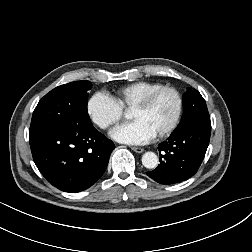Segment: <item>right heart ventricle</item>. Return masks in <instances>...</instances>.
Returning <instances> with one entry per match:
<instances>
[{
    "instance_id": "e07e8e85",
    "label": "right heart ventricle",
    "mask_w": 252,
    "mask_h": 252,
    "mask_svg": "<svg viewBox=\"0 0 252 252\" xmlns=\"http://www.w3.org/2000/svg\"><path fill=\"white\" fill-rule=\"evenodd\" d=\"M163 84L150 81H138L117 89L112 98L124 109H131L150 92L162 87Z\"/></svg>"
}]
</instances>
